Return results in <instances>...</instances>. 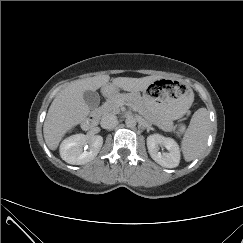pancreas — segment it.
<instances>
[{"label":"pancreas","instance_id":"cf45deb5","mask_svg":"<svg viewBox=\"0 0 243 243\" xmlns=\"http://www.w3.org/2000/svg\"><path fill=\"white\" fill-rule=\"evenodd\" d=\"M134 98L128 95H115L109 98L101 107L98 108V112L101 115H106L108 113L118 114L120 112V105L122 101H132ZM138 104L139 113L150 123L157 125L159 128L169 131L173 128V123L170 121H165L154 116L152 113L147 111L143 105Z\"/></svg>","mask_w":243,"mask_h":243}]
</instances>
